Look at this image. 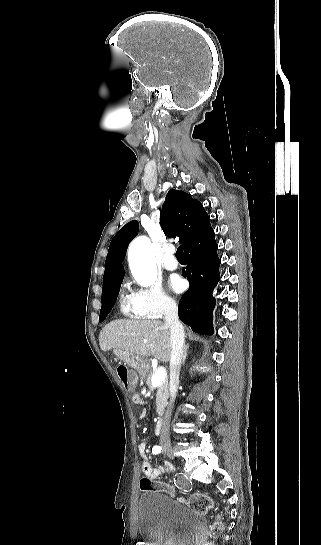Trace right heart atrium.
<instances>
[{"label":"right heart atrium","instance_id":"right-heart-atrium-1","mask_svg":"<svg viewBox=\"0 0 321 545\" xmlns=\"http://www.w3.org/2000/svg\"><path fill=\"white\" fill-rule=\"evenodd\" d=\"M129 299L135 312L145 319H161L178 307L176 300L161 289L156 279L148 286L131 289Z\"/></svg>","mask_w":321,"mask_h":545}]
</instances>
